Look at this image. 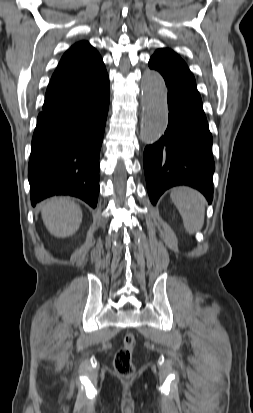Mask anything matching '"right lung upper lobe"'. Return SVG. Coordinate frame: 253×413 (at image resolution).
<instances>
[{
  "mask_svg": "<svg viewBox=\"0 0 253 413\" xmlns=\"http://www.w3.org/2000/svg\"><path fill=\"white\" fill-rule=\"evenodd\" d=\"M107 76L103 60L94 47L85 41L74 44L63 55L51 78L43 111L94 93Z\"/></svg>",
  "mask_w": 253,
  "mask_h": 413,
  "instance_id": "cb5924a9",
  "label": "right lung upper lobe"
}]
</instances>
